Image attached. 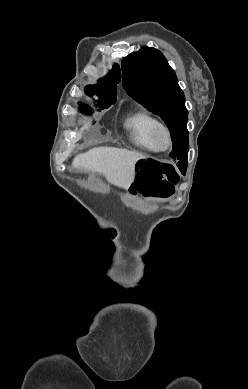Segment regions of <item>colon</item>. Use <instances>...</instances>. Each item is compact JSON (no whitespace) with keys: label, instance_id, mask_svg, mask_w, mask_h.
Returning a JSON list of instances; mask_svg holds the SVG:
<instances>
[{"label":"colon","instance_id":"obj_1","mask_svg":"<svg viewBox=\"0 0 248 389\" xmlns=\"http://www.w3.org/2000/svg\"><path fill=\"white\" fill-rule=\"evenodd\" d=\"M137 179H132V196L141 194L156 198H167L174 192L179 175L170 161H156L152 157H138L135 167Z\"/></svg>","mask_w":248,"mask_h":389}]
</instances>
